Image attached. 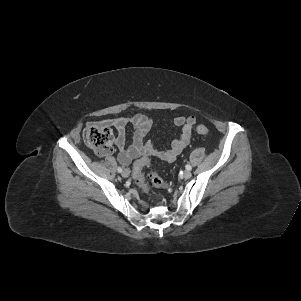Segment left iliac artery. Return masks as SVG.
Returning a JSON list of instances; mask_svg holds the SVG:
<instances>
[{
    "label": "left iliac artery",
    "instance_id": "obj_1",
    "mask_svg": "<svg viewBox=\"0 0 301 301\" xmlns=\"http://www.w3.org/2000/svg\"><path fill=\"white\" fill-rule=\"evenodd\" d=\"M185 167L188 171H190L192 169V167L189 164H187Z\"/></svg>",
    "mask_w": 301,
    "mask_h": 301
}]
</instances>
